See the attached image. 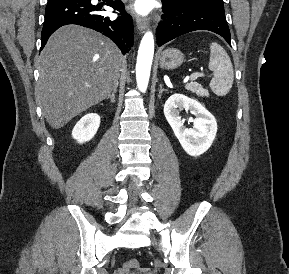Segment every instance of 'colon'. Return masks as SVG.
<instances>
[{
  "label": "colon",
  "mask_w": 289,
  "mask_h": 274,
  "mask_svg": "<svg viewBox=\"0 0 289 274\" xmlns=\"http://www.w3.org/2000/svg\"><path fill=\"white\" fill-rule=\"evenodd\" d=\"M139 267V262L136 259H130L124 263V271L135 270Z\"/></svg>",
  "instance_id": "5ec220e1"
}]
</instances>
